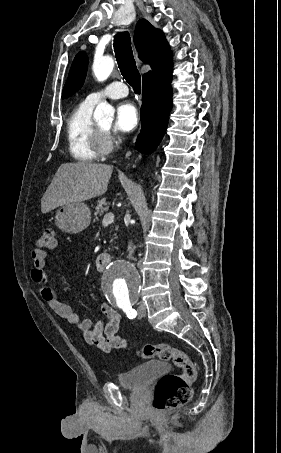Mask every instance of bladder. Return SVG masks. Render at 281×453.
<instances>
[{"label": "bladder", "mask_w": 281, "mask_h": 453, "mask_svg": "<svg viewBox=\"0 0 281 453\" xmlns=\"http://www.w3.org/2000/svg\"><path fill=\"white\" fill-rule=\"evenodd\" d=\"M170 366L162 361H152L129 371L120 373L117 382L121 387L139 389L149 384L153 379L169 372Z\"/></svg>", "instance_id": "bladder-1"}]
</instances>
